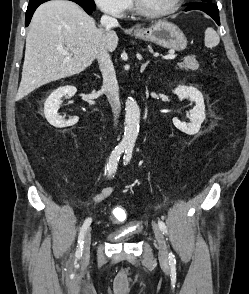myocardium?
<instances>
[{
	"label": "myocardium",
	"instance_id": "myocardium-1",
	"mask_svg": "<svg viewBox=\"0 0 249 294\" xmlns=\"http://www.w3.org/2000/svg\"><path fill=\"white\" fill-rule=\"evenodd\" d=\"M185 0H176L175 3L173 4V6H171L168 9L165 10H161V11H154V10H150L147 9L143 4L141 0H132L133 6L135 8V10L146 17H150V18H157V17H163V16H167L170 15L174 12H176L184 3Z\"/></svg>",
	"mask_w": 249,
	"mask_h": 294
}]
</instances>
